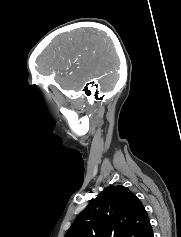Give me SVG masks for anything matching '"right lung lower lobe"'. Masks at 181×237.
Listing matches in <instances>:
<instances>
[{"mask_svg":"<svg viewBox=\"0 0 181 237\" xmlns=\"http://www.w3.org/2000/svg\"><path fill=\"white\" fill-rule=\"evenodd\" d=\"M149 237H153V233H151V234L149 235Z\"/></svg>","mask_w":181,"mask_h":237,"instance_id":"obj_1","label":"right lung lower lobe"}]
</instances>
